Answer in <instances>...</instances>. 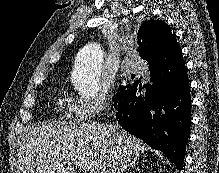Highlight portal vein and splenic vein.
I'll use <instances>...</instances> for the list:
<instances>
[{
	"mask_svg": "<svg viewBox=\"0 0 219 173\" xmlns=\"http://www.w3.org/2000/svg\"><path fill=\"white\" fill-rule=\"evenodd\" d=\"M82 170L84 171V173H89V170L86 168H82Z\"/></svg>",
	"mask_w": 219,
	"mask_h": 173,
	"instance_id": "obj_1",
	"label": "portal vein and splenic vein"
}]
</instances>
